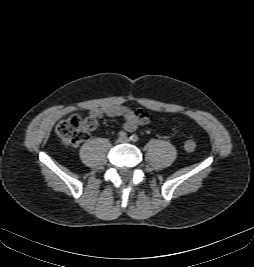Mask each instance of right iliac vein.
I'll use <instances>...</instances> for the list:
<instances>
[{
	"label": "right iliac vein",
	"mask_w": 254,
	"mask_h": 267,
	"mask_svg": "<svg viewBox=\"0 0 254 267\" xmlns=\"http://www.w3.org/2000/svg\"><path fill=\"white\" fill-rule=\"evenodd\" d=\"M121 140H122V139H121V138H119V139L117 140V142H118V143H120V142H121Z\"/></svg>",
	"instance_id": "obj_1"
}]
</instances>
